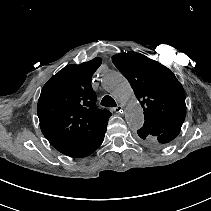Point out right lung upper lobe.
Segmentation results:
<instances>
[{
  "mask_svg": "<svg viewBox=\"0 0 211 211\" xmlns=\"http://www.w3.org/2000/svg\"><path fill=\"white\" fill-rule=\"evenodd\" d=\"M101 58L69 65L54 75L42 88L37 105L40 128L52 146L81 135L96 132L111 113L99 110L91 77Z\"/></svg>",
  "mask_w": 211,
  "mask_h": 211,
  "instance_id": "cb5924a9",
  "label": "right lung upper lobe"
}]
</instances>
